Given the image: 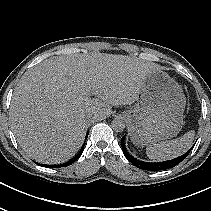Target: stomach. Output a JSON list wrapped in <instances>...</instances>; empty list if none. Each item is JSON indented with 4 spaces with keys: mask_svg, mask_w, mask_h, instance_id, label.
Instances as JSON below:
<instances>
[{
    "mask_svg": "<svg viewBox=\"0 0 211 211\" xmlns=\"http://www.w3.org/2000/svg\"><path fill=\"white\" fill-rule=\"evenodd\" d=\"M136 101L135 108L123 112L134 144L153 145L181 131L186 98L182 87L166 72L151 71Z\"/></svg>",
    "mask_w": 211,
    "mask_h": 211,
    "instance_id": "obj_1",
    "label": "stomach"
}]
</instances>
